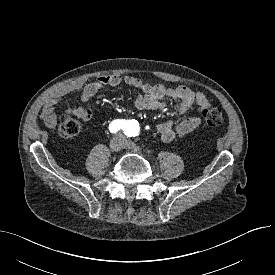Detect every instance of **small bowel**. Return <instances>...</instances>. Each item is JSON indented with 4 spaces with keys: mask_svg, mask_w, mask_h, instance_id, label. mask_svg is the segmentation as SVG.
Instances as JSON below:
<instances>
[{
    "mask_svg": "<svg viewBox=\"0 0 275 275\" xmlns=\"http://www.w3.org/2000/svg\"><path fill=\"white\" fill-rule=\"evenodd\" d=\"M122 83L140 89L142 92L136 97V109L164 110L168 101L175 102V111L184 114L194 108L197 113L210 107L207 97L202 92H195L187 86L168 88L163 84H149L141 78L132 75H104L96 81L86 83L84 79H75L56 89L46 100L41 111L44 124L53 128L57 122L56 106L69 94L81 91V101L87 103L98 91L105 86H118ZM66 113L73 114L83 121L93 117V110L87 107L67 109ZM201 124L199 116H189L178 124L172 120H165L156 125V129L164 142H171L176 136H184L194 131Z\"/></svg>",
    "mask_w": 275,
    "mask_h": 275,
    "instance_id": "obj_1",
    "label": "small bowel"
}]
</instances>
